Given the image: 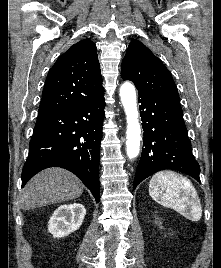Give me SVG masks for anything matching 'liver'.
<instances>
[{
	"label": "liver",
	"mask_w": 221,
	"mask_h": 268,
	"mask_svg": "<svg viewBox=\"0 0 221 268\" xmlns=\"http://www.w3.org/2000/svg\"><path fill=\"white\" fill-rule=\"evenodd\" d=\"M83 183L71 172L61 168L46 169L35 175L20 195L24 210L70 201L83 193Z\"/></svg>",
	"instance_id": "obj_1"
}]
</instances>
